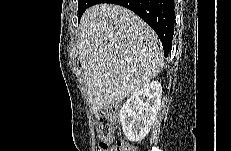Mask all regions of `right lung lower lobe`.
<instances>
[{"label":"right lung lower lobe","instance_id":"obj_1","mask_svg":"<svg viewBox=\"0 0 231 151\" xmlns=\"http://www.w3.org/2000/svg\"><path fill=\"white\" fill-rule=\"evenodd\" d=\"M112 3L126 7L146 23H148L159 36L165 57L171 50L174 34V0H91L90 4Z\"/></svg>","mask_w":231,"mask_h":151}]
</instances>
